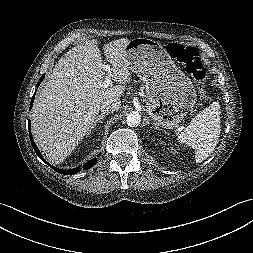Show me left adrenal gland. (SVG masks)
Segmentation results:
<instances>
[{
	"instance_id": "1",
	"label": "left adrenal gland",
	"mask_w": 253,
	"mask_h": 253,
	"mask_svg": "<svg viewBox=\"0 0 253 253\" xmlns=\"http://www.w3.org/2000/svg\"><path fill=\"white\" fill-rule=\"evenodd\" d=\"M154 129L162 130L163 131V129L159 128L158 126H155Z\"/></svg>"
}]
</instances>
